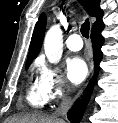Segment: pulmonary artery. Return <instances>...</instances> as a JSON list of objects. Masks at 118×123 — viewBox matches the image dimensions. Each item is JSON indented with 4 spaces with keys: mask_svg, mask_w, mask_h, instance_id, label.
Listing matches in <instances>:
<instances>
[{
    "mask_svg": "<svg viewBox=\"0 0 118 123\" xmlns=\"http://www.w3.org/2000/svg\"><path fill=\"white\" fill-rule=\"evenodd\" d=\"M66 46L71 51H79L83 47V42L78 34H71L66 39Z\"/></svg>",
    "mask_w": 118,
    "mask_h": 123,
    "instance_id": "obj_1",
    "label": "pulmonary artery"
}]
</instances>
